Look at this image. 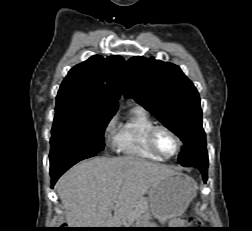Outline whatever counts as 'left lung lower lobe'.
<instances>
[{
  "label": "left lung lower lobe",
  "instance_id": "0a47b994",
  "mask_svg": "<svg viewBox=\"0 0 252 231\" xmlns=\"http://www.w3.org/2000/svg\"><path fill=\"white\" fill-rule=\"evenodd\" d=\"M185 166L198 168L200 170V172L202 173L204 182L206 183V181H207L208 161L189 163V164H186Z\"/></svg>",
  "mask_w": 252,
  "mask_h": 231
}]
</instances>
